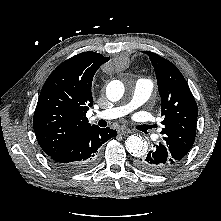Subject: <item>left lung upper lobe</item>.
<instances>
[{
	"instance_id": "obj_1",
	"label": "left lung upper lobe",
	"mask_w": 221,
	"mask_h": 221,
	"mask_svg": "<svg viewBox=\"0 0 221 221\" xmlns=\"http://www.w3.org/2000/svg\"><path fill=\"white\" fill-rule=\"evenodd\" d=\"M145 53L154 67L161 96V114L164 117L161 134L180 163L195 140L197 104L185 78L173 63L156 53Z\"/></svg>"
}]
</instances>
